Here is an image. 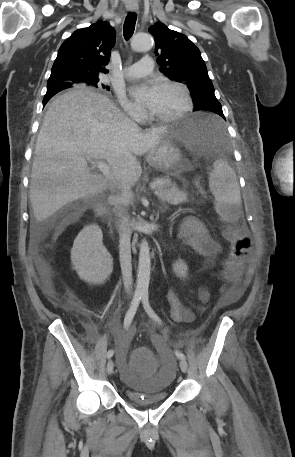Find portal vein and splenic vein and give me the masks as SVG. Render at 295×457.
Instances as JSON below:
<instances>
[{"label":"portal vein and splenic vein","mask_w":295,"mask_h":457,"mask_svg":"<svg viewBox=\"0 0 295 457\" xmlns=\"http://www.w3.org/2000/svg\"><path fill=\"white\" fill-rule=\"evenodd\" d=\"M92 163L97 165V167L102 171V173L104 174L105 177H107L108 179H112L111 170L107 163H105L103 161H94ZM161 184H162L161 181L153 182L150 185V187H151V189H156Z\"/></svg>","instance_id":"1"}]
</instances>
